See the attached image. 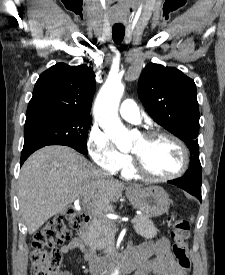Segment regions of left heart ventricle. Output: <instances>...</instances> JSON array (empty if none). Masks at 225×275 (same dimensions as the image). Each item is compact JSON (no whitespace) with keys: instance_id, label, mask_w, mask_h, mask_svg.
I'll return each mask as SVG.
<instances>
[{"instance_id":"1","label":"left heart ventricle","mask_w":225,"mask_h":275,"mask_svg":"<svg viewBox=\"0 0 225 275\" xmlns=\"http://www.w3.org/2000/svg\"><path fill=\"white\" fill-rule=\"evenodd\" d=\"M131 152L139 155L145 168L155 175L171 174L177 171L182 164L179 147L165 138L147 141L141 137Z\"/></svg>"}]
</instances>
